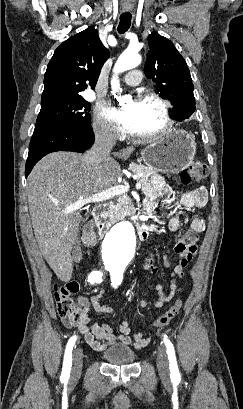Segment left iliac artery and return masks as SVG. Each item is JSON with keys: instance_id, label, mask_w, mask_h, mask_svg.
<instances>
[{"instance_id": "44dca946", "label": "left iliac artery", "mask_w": 243, "mask_h": 409, "mask_svg": "<svg viewBox=\"0 0 243 409\" xmlns=\"http://www.w3.org/2000/svg\"><path fill=\"white\" fill-rule=\"evenodd\" d=\"M110 275H111V285L113 287H116L119 284H121L122 279H123V274H122L121 271L111 269L110 270ZM163 341H164L166 349H167L168 359H169V363H170L169 364V369H170V372H171V378L174 379V380H177V379L180 378V373H179V369H178V365H177V361H176V356H175V351H174L173 344L167 338V335L163 336Z\"/></svg>"}]
</instances>
